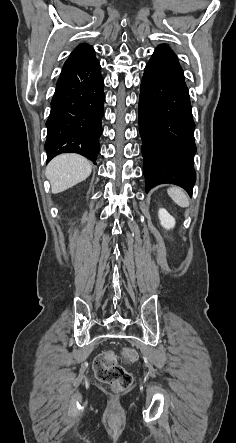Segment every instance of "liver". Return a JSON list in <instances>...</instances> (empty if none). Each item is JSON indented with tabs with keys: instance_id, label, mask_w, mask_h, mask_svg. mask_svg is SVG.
Masks as SVG:
<instances>
[{
	"instance_id": "liver-1",
	"label": "liver",
	"mask_w": 236,
	"mask_h": 443,
	"mask_svg": "<svg viewBox=\"0 0 236 443\" xmlns=\"http://www.w3.org/2000/svg\"><path fill=\"white\" fill-rule=\"evenodd\" d=\"M90 162L78 154H61L46 167V177L51 183V192L57 194L84 181L91 174Z\"/></svg>"
}]
</instances>
